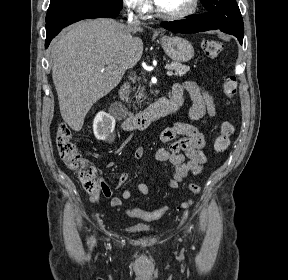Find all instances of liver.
Segmentation results:
<instances>
[{"label":"liver","instance_id":"1","mask_svg":"<svg viewBox=\"0 0 288 280\" xmlns=\"http://www.w3.org/2000/svg\"><path fill=\"white\" fill-rule=\"evenodd\" d=\"M143 28L99 18L71 25L51 48L52 78L63 120L80 131L92 105L113 90L143 53L131 33Z\"/></svg>","mask_w":288,"mask_h":280}]
</instances>
